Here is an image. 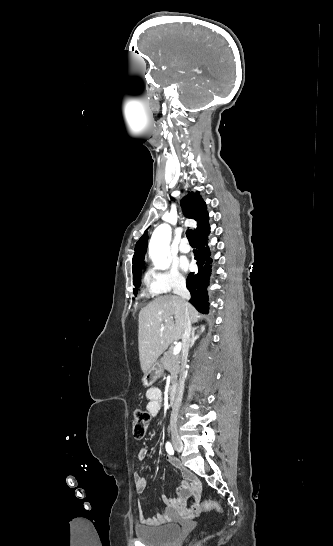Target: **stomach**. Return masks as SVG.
Segmentation results:
<instances>
[{
  "mask_svg": "<svg viewBox=\"0 0 333 546\" xmlns=\"http://www.w3.org/2000/svg\"><path fill=\"white\" fill-rule=\"evenodd\" d=\"M163 375V367L160 361H156L149 370L144 374V377L142 379L144 385L150 386L152 385L157 379H159Z\"/></svg>",
  "mask_w": 333,
  "mask_h": 546,
  "instance_id": "0dacf381",
  "label": "stomach"
}]
</instances>
